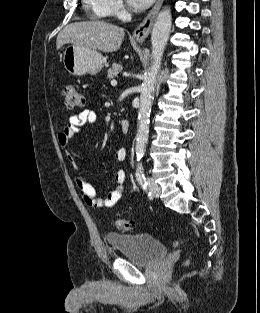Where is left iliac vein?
<instances>
[{
    "instance_id": "1",
    "label": "left iliac vein",
    "mask_w": 260,
    "mask_h": 313,
    "mask_svg": "<svg viewBox=\"0 0 260 313\" xmlns=\"http://www.w3.org/2000/svg\"><path fill=\"white\" fill-rule=\"evenodd\" d=\"M148 187H149V191H150V194L155 197V198H158L159 195H160V187L159 185L150 177H148Z\"/></svg>"
}]
</instances>
